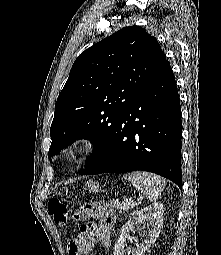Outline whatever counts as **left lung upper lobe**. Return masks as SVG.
<instances>
[{
    "instance_id": "5c2ea615",
    "label": "left lung upper lobe",
    "mask_w": 221,
    "mask_h": 255,
    "mask_svg": "<svg viewBox=\"0 0 221 255\" xmlns=\"http://www.w3.org/2000/svg\"><path fill=\"white\" fill-rule=\"evenodd\" d=\"M164 61L155 37L135 25L82 52L57 98L49 157L77 139H88L93 152L86 160L87 167L100 155L120 116L154 79Z\"/></svg>"
}]
</instances>
